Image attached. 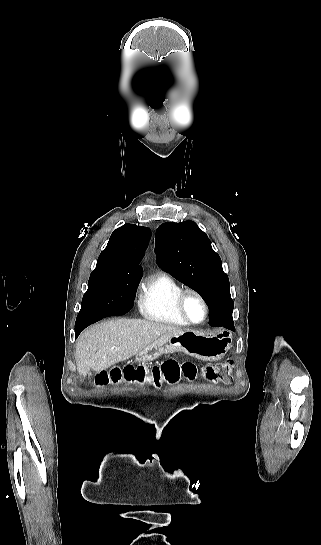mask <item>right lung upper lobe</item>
Listing matches in <instances>:
<instances>
[{
	"mask_svg": "<svg viewBox=\"0 0 321 545\" xmlns=\"http://www.w3.org/2000/svg\"><path fill=\"white\" fill-rule=\"evenodd\" d=\"M151 237V230L134 224H125L110 236L92 273H107L119 279L140 281L139 266Z\"/></svg>",
	"mask_w": 321,
	"mask_h": 545,
	"instance_id": "1",
	"label": "right lung upper lobe"
}]
</instances>
